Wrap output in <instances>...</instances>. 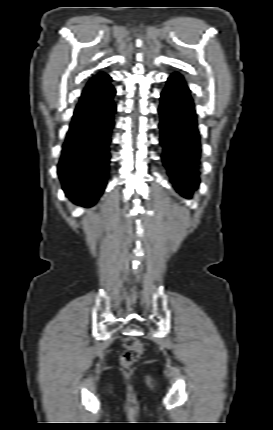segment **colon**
I'll return each instance as SVG.
<instances>
[{"instance_id": "obj_1", "label": "colon", "mask_w": 273, "mask_h": 430, "mask_svg": "<svg viewBox=\"0 0 273 430\" xmlns=\"http://www.w3.org/2000/svg\"><path fill=\"white\" fill-rule=\"evenodd\" d=\"M124 351L121 354V363L123 366H131L136 362L143 353L144 346L140 339L128 337L124 341Z\"/></svg>"}]
</instances>
